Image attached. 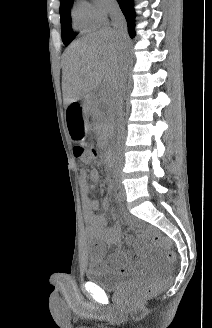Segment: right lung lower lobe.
Listing matches in <instances>:
<instances>
[{
  "label": "right lung lower lobe",
  "instance_id": "1",
  "mask_svg": "<svg viewBox=\"0 0 212 328\" xmlns=\"http://www.w3.org/2000/svg\"><path fill=\"white\" fill-rule=\"evenodd\" d=\"M127 21L128 32L131 38L135 36V12L133 0H117Z\"/></svg>",
  "mask_w": 212,
  "mask_h": 328
}]
</instances>
